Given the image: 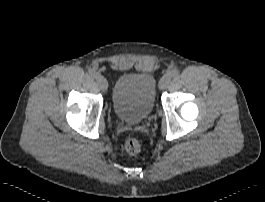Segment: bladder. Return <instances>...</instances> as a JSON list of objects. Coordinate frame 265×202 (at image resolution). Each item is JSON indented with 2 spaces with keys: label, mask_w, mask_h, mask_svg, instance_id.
I'll list each match as a JSON object with an SVG mask.
<instances>
[{
  "label": "bladder",
  "mask_w": 265,
  "mask_h": 202,
  "mask_svg": "<svg viewBox=\"0 0 265 202\" xmlns=\"http://www.w3.org/2000/svg\"><path fill=\"white\" fill-rule=\"evenodd\" d=\"M157 81L147 73H127L115 82L112 105L116 116L131 124L145 120L156 101Z\"/></svg>",
  "instance_id": "31cf9c89"
}]
</instances>
